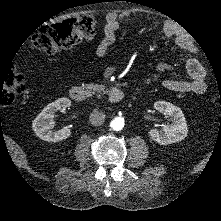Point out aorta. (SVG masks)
I'll return each instance as SVG.
<instances>
[{
	"label": "aorta",
	"instance_id": "762f6f07",
	"mask_svg": "<svg viewBox=\"0 0 221 221\" xmlns=\"http://www.w3.org/2000/svg\"><path fill=\"white\" fill-rule=\"evenodd\" d=\"M124 118L123 117H115L110 122V128L114 131H119L124 127Z\"/></svg>",
	"mask_w": 221,
	"mask_h": 221
}]
</instances>
